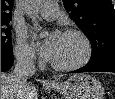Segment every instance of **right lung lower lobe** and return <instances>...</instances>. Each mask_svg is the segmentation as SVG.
<instances>
[{
  "label": "right lung lower lobe",
  "mask_w": 115,
  "mask_h": 99,
  "mask_svg": "<svg viewBox=\"0 0 115 99\" xmlns=\"http://www.w3.org/2000/svg\"><path fill=\"white\" fill-rule=\"evenodd\" d=\"M13 64V55L1 56V71H8Z\"/></svg>",
  "instance_id": "1"
}]
</instances>
